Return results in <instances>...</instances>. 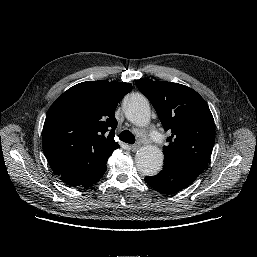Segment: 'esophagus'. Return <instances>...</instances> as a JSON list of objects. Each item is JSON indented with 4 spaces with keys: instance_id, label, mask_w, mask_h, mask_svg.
I'll return each instance as SVG.
<instances>
[{
    "instance_id": "1",
    "label": "esophagus",
    "mask_w": 257,
    "mask_h": 257,
    "mask_svg": "<svg viewBox=\"0 0 257 257\" xmlns=\"http://www.w3.org/2000/svg\"><path fill=\"white\" fill-rule=\"evenodd\" d=\"M130 148L132 152H136L140 148V145L139 144L131 145Z\"/></svg>"
}]
</instances>
